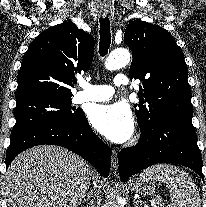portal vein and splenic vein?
<instances>
[{
    "mask_svg": "<svg viewBox=\"0 0 206 207\" xmlns=\"http://www.w3.org/2000/svg\"><path fill=\"white\" fill-rule=\"evenodd\" d=\"M159 205H161L159 202H152V206H154V207H159Z\"/></svg>",
    "mask_w": 206,
    "mask_h": 207,
    "instance_id": "18ae733b",
    "label": "portal vein and splenic vein"
}]
</instances>
